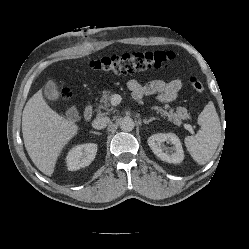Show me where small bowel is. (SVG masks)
<instances>
[{
    "instance_id": "obj_1",
    "label": "small bowel",
    "mask_w": 249,
    "mask_h": 249,
    "mask_svg": "<svg viewBox=\"0 0 249 249\" xmlns=\"http://www.w3.org/2000/svg\"><path fill=\"white\" fill-rule=\"evenodd\" d=\"M128 88L135 100H140L144 96L156 94L161 103L174 101L182 88V81L174 79L169 82L153 80L145 85L140 84L137 80L132 79L128 82Z\"/></svg>"
}]
</instances>
